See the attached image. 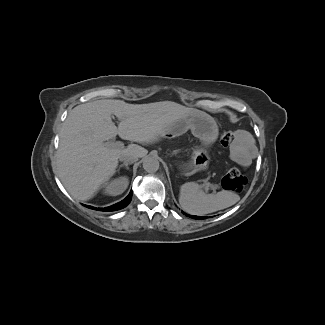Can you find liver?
<instances>
[{
	"mask_svg": "<svg viewBox=\"0 0 325 325\" xmlns=\"http://www.w3.org/2000/svg\"><path fill=\"white\" fill-rule=\"evenodd\" d=\"M194 112L199 111L172 101L128 104L103 99L78 105L70 111L60 130L54 173L74 199L89 200L115 172L121 154L146 153L137 145L124 149L109 147L104 141L118 134L124 140L152 142L174 121ZM111 114L120 121L118 127Z\"/></svg>",
	"mask_w": 325,
	"mask_h": 325,
	"instance_id": "obj_1",
	"label": "liver"
}]
</instances>
